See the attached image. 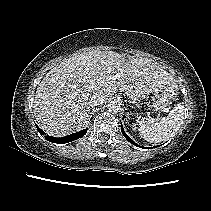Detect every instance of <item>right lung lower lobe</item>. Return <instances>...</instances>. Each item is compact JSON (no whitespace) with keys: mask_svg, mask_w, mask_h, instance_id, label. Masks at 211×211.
<instances>
[{"mask_svg":"<svg viewBox=\"0 0 211 211\" xmlns=\"http://www.w3.org/2000/svg\"><path fill=\"white\" fill-rule=\"evenodd\" d=\"M36 127L41 135L45 134L37 125H36ZM86 132H87V129H84L77 133H73V134H70V135H67V136L61 137V138H55L52 136H44V137L50 142L64 144V143L72 142L74 140H77V139L83 137L86 134Z\"/></svg>","mask_w":211,"mask_h":211,"instance_id":"98d812e1","label":"right lung lower lobe"}]
</instances>
